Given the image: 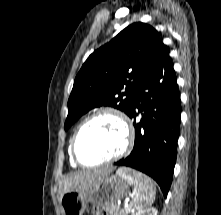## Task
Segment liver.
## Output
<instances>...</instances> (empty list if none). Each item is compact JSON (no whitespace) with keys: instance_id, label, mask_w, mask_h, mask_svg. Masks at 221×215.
Here are the masks:
<instances>
[{"instance_id":"1","label":"liver","mask_w":221,"mask_h":215,"mask_svg":"<svg viewBox=\"0 0 221 215\" xmlns=\"http://www.w3.org/2000/svg\"><path fill=\"white\" fill-rule=\"evenodd\" d=\"M112 169L102 168L97 170H90L86 172H80L77 174L69 175L62 181L60 199L64 193L69 191L87 190L94 186L99 180L107 177L111 173ZM59 199V200H60Z\"/></svg>"}]
</instances>
